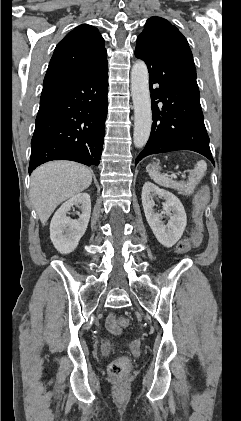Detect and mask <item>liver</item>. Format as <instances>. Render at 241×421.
I'll return each instance as SVG.
<instances>
[{"label": "liver", "mask_w": 241, "mask_h": 421, "mask_svg": "<svg viewBox=\"0 0 241 421\" xmlns=\"http://www.w3.org/2000/svg\"><path fill=\"white\" fill-rule=\"evenodd\" d=\"M91 182V170L76 162L53 161L35 169L30 195L41 223L45 225L59 204L87 189Z\"/></svg>", "instance_id": "liver-1"}]
</instances>
